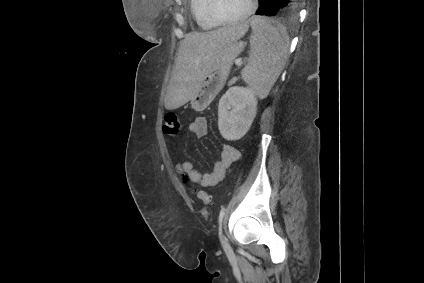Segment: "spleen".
Returning <instances> with one entry per match:
<instances>
[{
    "label": "spleen",
    "mask_w": 424,
    "mask_h": 283,
    "mask_svg": "<svg viewBox=\"0 0 424 283\" xmlns=\"http://www.w3.org/2000/svg\"><path fill=\"white\" fill-rule=\"evenodd\" d=\"M250 24L249 59L241 76L256 95L265 98L288 58L289 36L286 28L277 21L253 17Z\"/></svg>",
    "instance_id": "spleen-1"
}]
</instances>
